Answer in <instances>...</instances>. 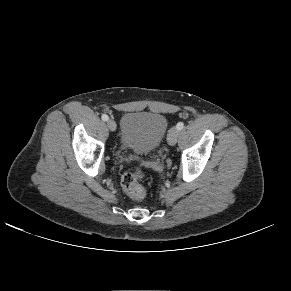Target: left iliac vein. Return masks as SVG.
I'll return each instance as SVG.
<instances>
[{"mask_svg":"<svg viewBox=\"0 0 291 291\" xmlns=\"http://www.w3.org/2000/svg\"><path fill=\"white\" fill-rule=\"evenodd\" d=\"M178 135H179V130L177 129V127H172L169 130V133L167 136L168 144L171 146L175 145L178 139Z\"/></svg>","mask_w":291,"mask_h":291,"instance_id":"obj_1","label":"left iliac vein"}]
</instances>
